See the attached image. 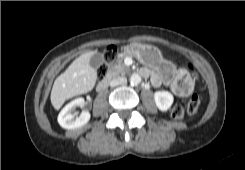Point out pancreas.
Wrapping results in <instances>:
<instances>
[{"label": "pancreas", "mask_w": 245, "mask_h": 170, "mask_svg": "<svg viewBox=\"0 0 245 170\" xmlns=\"http://www.w3.org/2000/svg\"><path fill=\"white\" fill-rule=\"evenodd\" d=\"M127 56H129L127 51H124L117 56L116 60L109 66L107 73L108 79L127 73L129 67L124 64V58Z\"/></svg>", "instance_id": "pancreas-1"}]
</instances>
